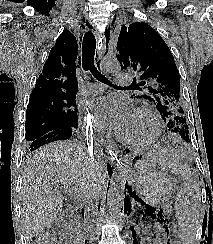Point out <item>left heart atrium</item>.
Masks as SVG:
<instances>
[{"instance_id":"obj_1","label":"left heart atrium","mask_w":213,"mask_h":244,"mask_svg":"<svg viewBox=\"0 0 213 244\" xmlns=\"http://www.w3.org/2000/svg\"><path fill=\"white\" fill-rule=\"evenodd\" d=\"M87 113L98 128L121 133L129 123L133 112L126 103L115 97L94 98L87 104Z\"/></svg>"}]
</instances>
